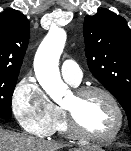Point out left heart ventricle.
<instances>
[{
  "instance_id": "left-heart-ventricle-1",
  "label": "left heart ventricle",
  "mask_w": 131,
  "mask_h": 151,
  "mask_svg": "<svg viewBox=\"0 0 131 151\" xmlns=\"http://www.w3.org/2000/svg\"><path fill=\"white\" fill-rule=\"evenodd\" d=\"M63 106L76 113L81 127L90 134L107 136L117 126L118 117L114 107L100 94L91 95L81 102H78L72 94Z\"/></svg>"
}]
</instances>
